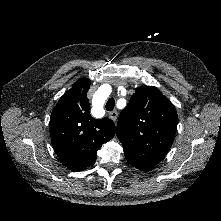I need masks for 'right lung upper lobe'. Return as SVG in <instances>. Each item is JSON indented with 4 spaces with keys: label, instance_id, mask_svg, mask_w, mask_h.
Returning <instances> with one entry per match:
<instances>
[{
    "label": "right lung upper lobe",
    "instance_id": "right-lung-upper-lobe-1",
    "mask_svg": "<svg viewBox=\"0 0 221 221\" xmlns=\"http://www.w3.org/2000/svg\"><path fill=\"white\" fill-rule=\"evenodd\" d=\"M91 81L78 80L54 107L49 130L53 148L60 161L72 171H82L94 164L97 151L116 133L114 122L90 115L87 98Z\"/></svg>",
    "mask_w": 221,
    "mask_h": 221
}]
</instances>
